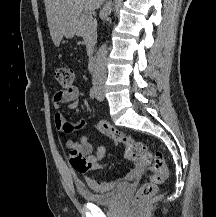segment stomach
<instances>
[{"label":"stomach","mask_w":216,"mask_h":217,"mask_svg":"<svg viewBox=\"0 0 216 217\" xmlns=\"http://www.w3.org/2000/svg\"><path fill=\"white\" fill-rule=\"evenodd\" d=\"M75 31H76V29H75V24L73 25V26H71L67 31H66V37H68V38H71V37H73L74 36V34H75Z\"/></svg>","instance_id":"1"}]
</instances>
